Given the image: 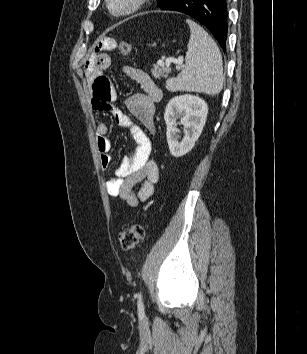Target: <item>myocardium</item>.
<instances>
[{"label":"myocardium","mask_w":307,"mask_h":354,"mask_svg":"<svg viewBox=\"0 0 307 354\" xmlns=\"http://www.w3.org/2000/svg\"><path fill=\"white\" fill-rule=\"evenodd\" d=\"M149 0H129L127 5L120 10L114 8V0H106V6L109 13L118 18L129 16L141 9Z\"/></svg>","instance_id":"myocardium-1"}]
</instances>
